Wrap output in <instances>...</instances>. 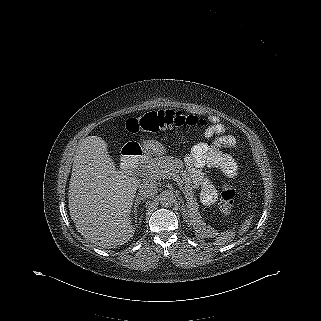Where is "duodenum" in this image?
I'll list each match as a JSON object with an SVG mask.
<instances>
[{
  "label": "duodenum",
  "instance_id": "obj_1",
  "mask_svg": "<svg viewBox=\"0 0 321 321\" xmlns=\"http://www.w3.org/2000/svg\"><path fill=\"white\" fill-rule=\"evenodd\" d=\"M132 157L131 156H124V162L127 163Z\"/></svg>",
  "mask_w": 321,
  "mask_h": 321
}]
</instances>
